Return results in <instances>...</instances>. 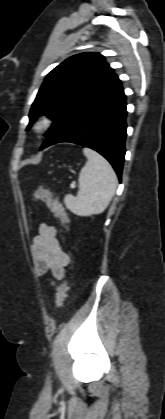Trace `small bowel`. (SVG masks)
Segmentation results:
<instances>
[{
	"label": "small bowel",
	"mask_w": 165,
	"mask_h": 419,
	"mask_svg": "<svg viewBox=\"0 0 165 419\" xmlns=\"http://www.w3.org/2000/svg\"><path fill=\"white\" fill-rule=\"evenodd\" d=\"M31 253L38 275L50 272L54 280L65 277L70 257L63 249L56 227L45 223L39 226V233L32 240Z\"/></svg>",
	"instance_id": "obj_1"
}]
</instances>
